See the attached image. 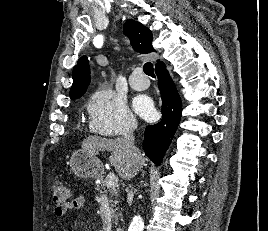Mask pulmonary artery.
Returning <instances> with one entry per match:
<instances>
[{
	"label": "pulmonary artery",
	"instance_id": "e3ab8cb5",
	"mask_svg": "<svg viewBox=\"0 0 268 231\" xmlns=\"http://www.w3.org/2000/svg\"><path fill=\"white\" fill-rule=\"evenodd\" d=\"M150 80L140 71L134 72L130 77V86L134 90L143 91L149 87Z\"/></svg>",
	"mask_w": 268,
	"mask_h": 231
}]
</instances>
